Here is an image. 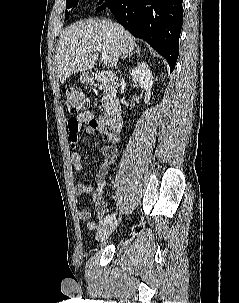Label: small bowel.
<instances>
[{
	"mask_svg": "<svg viewBox=\"0 0 239 303\" xmlns=\"http://www.w3.org/2000/svg\"><path fill=\"white\" fill-rule=\"evenodd\" d=\"M76 125V129L73 130L72 125ZM69 131V141L70 144L75 147L79 143V137L83 126H85V132L87 134L99 133L101 135L107 136L110 144L103 145L100 148V152L104 157V161L101 164L99 171L95 178L96 190L92 197L95 204V210L98 218L102 220L104 215L107 213V204L104 201L101 191L106 185V177L109 172L110 167L114 163L118 151L115 144L118 142V137L108 130L104 121L101 117L96 116L93 112H83L75 118H71L67 123ZM71 162L76 171H83L84 164L82 160V155L78 151H74L71 155ZM76 195L81 198L91 194V189L88 185L84 183H79L76 185ZM80 219L86 223L87 228L91 231L97 228V224L92 220L91 212L87 209H82L79 214Z\"/></svg>",
	"mask_w": 239,
	"mask_h": 303,
	"instance_id": "obj_1",
	"label": "small bowel"
}]
</instances>
